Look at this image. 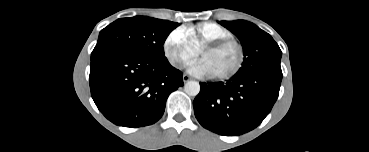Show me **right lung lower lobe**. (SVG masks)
I'll return each mask as SVG.
<instances>
[{
  "label": "right lung lower lobe",
  "instance_id": "obj_1",
  "mask_svg": "<svg viewBox=\"0 0 369 152\" xmlns=\"http://www.w3.org/2000/svg\"><path fill=\"white\" fill-rule=\"evenodd\" d=\"M90 89L112 123L142 127L158 121L169 94L183 86V74L167 58L109 53L91 60Z\"/></svg>",
  "mask_w": 369,
  "mask_h": 152
}]
</instances>
